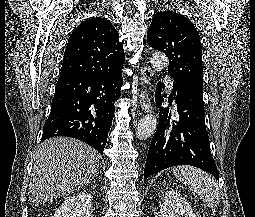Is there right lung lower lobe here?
<instances>
[{
	"mask_svg": "<svg viewBox=\"0 0 255 217\" xmlns=\"http://www.w3.org/2000/svg\"><path fill=\"white\" fill-rule=\"evenodd\" d=\"M122 84L121 71L103 76L59 77L42 141L55 136L73 137L102 155Z\"/></svg>",
	"mask_w": 255,
	"mask_h": 217,
	"instance_id": "98d812e1",
	"label": "right lung lower lobe"
}]
</instances>
